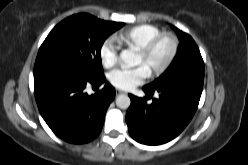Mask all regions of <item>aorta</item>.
I'll use <instances>...</instances> for the list:
<instances>
[{"mask_svg":"<svg viewBox=\"0 0 248 165\" xmlns=\"http://www.w3.org/2000/svg\"><path fill=\"white\" fill-rule=\"evenodd\" d=\"M120 59L124 63L131 65V66H135L139 63L138 56L132 50H123L120 54ZM130 104H131V100L128 95L121 94L117 96L116 105L120 109H127L129 108Z\"/></svg>","mask_w":248,"mask_h":165,"instance_id":"1","label":"aorta"}]
</instances>
